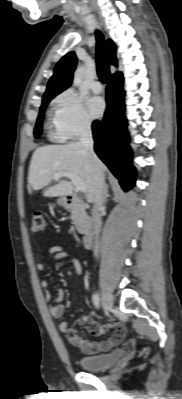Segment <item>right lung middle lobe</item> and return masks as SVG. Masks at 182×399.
Returning a JSON list of instances; mask_svg holds the SVG:
<instances>
[{"mask_svg": "<svg viewBox=\"0 0 182 399\" xmlns=\"http://www.w3.org/2000/svg\"><path fill=\"white\" fill-rule=\"evenodd\" d=\"M51 99L52 98L43 99V101H42V105L40 107L39 116H38L37 123H36L35 129H34L35 137H39L41 135V133H42V120H43V116H44V111H45V109H46V107H47V105H48V103H49V101Z\"/></svg>", "mask_w": 182, "mask_h": 399, "instance_id": "dd1d6c3e", "label": "right lung middle lobe"}]
</instances>
